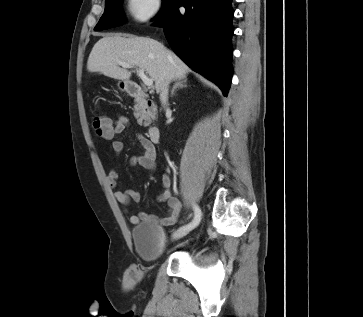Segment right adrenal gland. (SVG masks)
Returning a JSON list of instances; mask_svg holds the SVG:
<instances>
[{
  "label": "right adrenal gland",
  "mask_w": 363,
  "mask_h": 317,
  "mask_svg": "<svg viewBox=\"0 0 363 317\" xmlns=\"http://www.w3.org/2000/svg\"><path fill=\"white\" fill-rule=\"evenodd\" d=\"M187 78L186 77H183V78H180L173 86L172 90H171V94L170 96L173 97L174 94H175V91L176 89L178 88H186L187 87Z\"/></svg>",
  "instance_id": "obj_1"
}]
</instances>
